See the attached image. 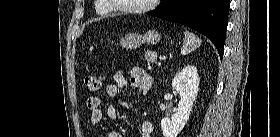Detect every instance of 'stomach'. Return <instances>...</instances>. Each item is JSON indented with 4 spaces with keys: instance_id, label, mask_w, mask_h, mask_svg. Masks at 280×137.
Returning <instances> with one entry per match:
<instances>
[{
    "instance_id": "obj_1",
    "label": "stomach",
    "mask_w": 280,
    "mask_h": 137,
    "mask_svg": "<svg viewBox=\"0 0 280 137\" xmlns=\"http://www.w3.org/2000/svg\"><path fill=\"white\" fill-rule=\"evenodd\" d=\"M160 41V34L155 30H149L144 34L129 33L120 40V45L126 49H136L147 43L155 45Z\"/></svg>"
}]
</instances>
